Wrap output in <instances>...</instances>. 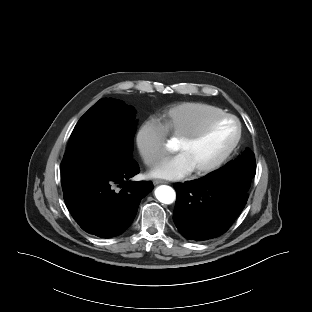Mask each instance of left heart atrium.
Masks as SVG:
<instances>
[{"instance_id": "left-heart-atrium-1", "label": "left heart atrium", "mask_w": 312, "mask_h": 312, "mask_svg": "<svg viewBox=\"0 0 312 312\" xmlns=\"http://www.w3.org/2000/svg\"><path fill=\"white\" fill-rule=\"evenodd\" d=\"M192 171H194V169L186 156L179 153L156 166L151 172V176L155 178L177 180L187 176Z\"/></svg>"}]
</instances>
